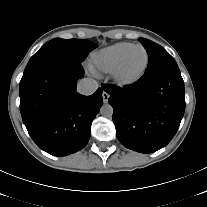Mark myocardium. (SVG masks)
Instances as JSON below:
<instances>
[{"label":"myocardium","mask_w":207,"mask_h":207,"mask_svg":"<svg viewBox=\"0 0 207 207\" xmlns=\"http://www.w3.org/2000/svg\"><path fill=\"white\" fill-rule=\"evenodd\" d=\"M135 48H141L145 53V63L142 69L134 76L125 77L122 75V68L123 65L131 53V51ZM149 65V54L147 49L142 44H133L120 58L118 63L116 64L115 68L111 72L113 81L119 86H130L137 83L146 73Z\"/></svg>","instance_id":"obj_1"}]
</instances>
